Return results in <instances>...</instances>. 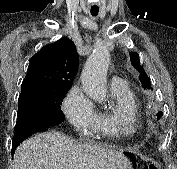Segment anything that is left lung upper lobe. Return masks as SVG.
Wrapping results in <instances>:
<instances>
[{"label": "left lung upper lobe", "instance_id": "left-lung-upper-lobe-1", "mask_svg": "<svg viewBox=\"0 0 177 169\" xmlns=\"http://www.w3.org/2000/svg\"><path fill=\"white\" fill-rule=\"evenodd\" d=\"M130 61H131V64L133 65L134 68H136L139 72H140V81L142 83V86L144 88H147V89H151V82H150V79L149 77L147 76L146 72L144 71V69L141 67L140 65V61H139V56L136 52H130Z\"/></svg>", "mask_w": 177, "mask_h": 169}]
</instances>
